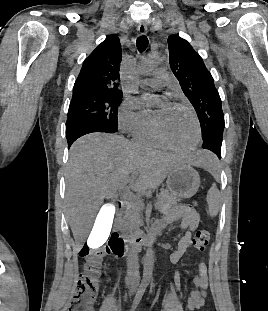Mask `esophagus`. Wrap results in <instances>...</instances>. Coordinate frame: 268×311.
Wrapping results in <instances>:
<instances>
[{"label":"esophagus","mask_w":268,"mask_h":311,"mask_svg":"<svg viewBox=\"0 0 268 311\" xmlns=\"http://www.w3.org/2000/svg\"><path fill=\"white\" fill-rule=\"evenodd\" d=\"M137 31H138L139 35H141V36H142V35H145L146 32H147V26H146V24L143 23V22H140V23L138 24Z\"/></svg>","instance_id":"esophagus-1"}]
</instances>
